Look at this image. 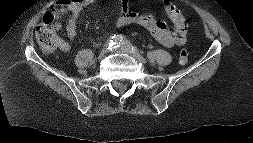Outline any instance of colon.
Instances as JSON below:
<instances>
[{
	"label": "colon",
	"mask_w": 253,
	"mask_h": 143,
	"mask_svg": "<svg viewBox=\"0 0 253 143\" xmlns=\"http://www.w3.org/2000/svg\"><path fill=\"white\" fill-rule=\"evenodd\" d=\"M173 14L177 21V28L181 31H186L187 25L181 20L177 8L173 9ZM35 35L39 47L44 53H51L56 49L59 45V39L55 30L53 11L47 12L44 15L42 22L36 29ZM188 60L189 51L187 49H182L179 55L180 63L185 64Z\"/></svg>",
	"instance_id": "obj_1"
}]
</instances>
